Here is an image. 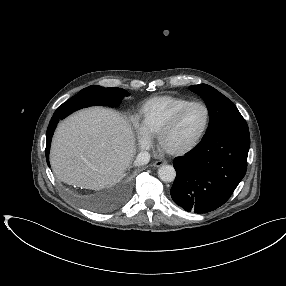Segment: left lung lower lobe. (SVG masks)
<instances>
[{
    "label": "left lung lower lobe",
    "mask_w": 286,
    "mask_h": 286,
    "mask_svg": "<svg viewBox=\"0 0 286 286\" xmlns=\"http://www.w3.org/2000/svg\"><path fill=\"white\" fill-rule=\"evenodd\" d=\"M250 147L248 129H225L203 136L183 157L174 159L170 194L186 211L207 213L223 205L244 177Z\"/></svg>",
    "instance_id": "1"
}]
</instances>
